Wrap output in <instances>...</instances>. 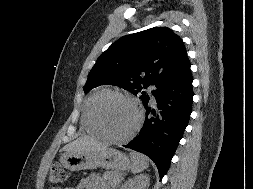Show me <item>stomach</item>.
I'll use <instances>...</instances> for the list:
<instances>
[{"mask_svg": "<svg viewBox=\"0 0 253 189\" xmlns=\"http://www.w3.org/2000/svg\"><path fill=\"white\" fill-rule=\"evenodd\" d=\"M60 163L70 171L95 169L97 167L112 170H127L130 168V160L126 154L113 148H107L99 153L66 152L60 157Z\"/></svg>", "mask_w": 253, "mask_h": 189, "instance_id": "0dacf381", "label": "stomach"}]
</instances>
